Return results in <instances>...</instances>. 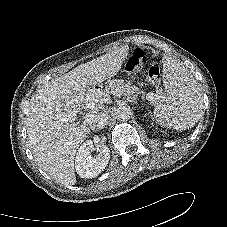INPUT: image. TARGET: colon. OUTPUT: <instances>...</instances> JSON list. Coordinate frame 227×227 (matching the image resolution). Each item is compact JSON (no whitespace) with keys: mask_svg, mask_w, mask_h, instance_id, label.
I'll use <instances>...</instances> for the list:
<instances>
[{"mask_svg":"<svg viewBox=\"0 0 227 227\" xmlns=\"http://www.w3.org/2000/svg\"><path fill=\"white\" fill-rule=\"evenodd\" d=\"M147 68V75L150 82L154 85L160 83V67L153 61L148 60L144 51L141 48H136L126 63V70L128 72H140Z\"/></svg>","mask_w":227,"mask_h":227,"instance_id":"5ec220e1","label":"colon"}]
</instances>
